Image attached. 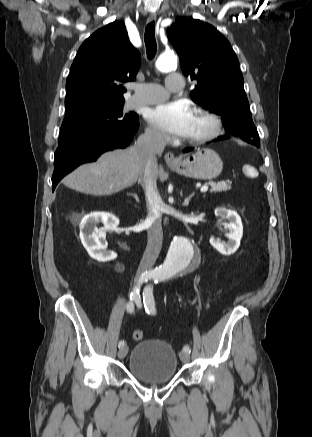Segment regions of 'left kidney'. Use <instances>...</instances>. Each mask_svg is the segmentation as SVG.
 <instances>
[{"instance_id":"1","label":"left kidney","mask_w":312,"mask_h":437,"mask_svg":"<svg viewBox=\"0 0 312 437\" xmlns=\"http://www.w3.org/2000/svg\"><path fill=\"white\" fill-rule=\"evenodd\" d=\"M215 216L225 219L227 222L222 223L226 232L227 242H221L214 237L210 238V244L221 254L231 255L240 246V240L243 236V225L240 216L233 210L226 208L215 209Z\"/></svg>"}]
</instances>
